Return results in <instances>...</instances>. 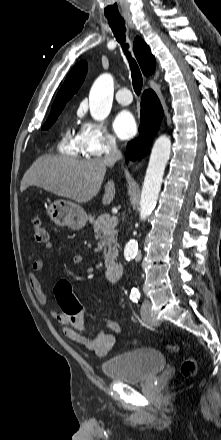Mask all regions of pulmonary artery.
I'll use <instances>...</instances> for the list:
<instances>
[{
    "label": "pulmonary artery",
    "mask_w": 221,
    "mask_h": 440,
    "mask_svg": "<svg viewBox=\"0 0 221 440\" xmlns=\"http://www.w3.org/2000/svg\"><path fill=\"white\" fill-rule=\"evenodd\" d=\"M116 100L121 105H129L132 102V95L128 88H120L116 93Z\"/></svg>",
    "instance_id": "obj_1"
}]
</instances>
